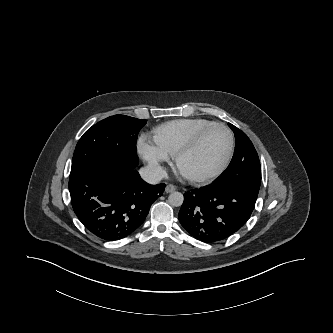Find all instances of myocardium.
<instances>
[{
    "instance_id": "1",
    "label": "myocardium",
    "mask_w": 333,
    "mask_h": 333,
    "mask_svg": "<svg viewBox=\"0 0 333 333\" xmlns=\"http://www.w3.org/2000/svg\"><path fill=\"white\" fill-rule=\"evenodd\" d=\"M214 128L223 129L226 132L228 139H229V148H228L227 155H226L224 161L222 162V164L219 166V168H217L214 172H212L210 174L202 175V176L188 175V174H185L182 171H180V169H179L180 160L185 155L192 152L199 145V143L202 141V139ZM234 150H235V139H234V135H233L232 131L230 130V128L223 123H213V124L203 128L202 130H200L187 144H185L182 148H180L173 155V162H174L175 167L180 171V173L184 176V178H186L187 180H189L190 182H193V183L205 184V183H209V182L215 180L221 174L224 173V171L227 169V167L229 166V164L232 160V157L234 155Z\"/></svg>"
}]
</instances>
